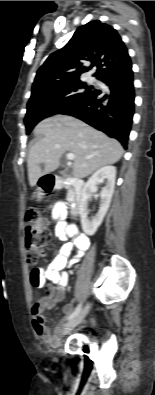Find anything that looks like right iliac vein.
Instances as JSON below:
<instances>
[{
    "mask_svg": "<svg viewBox=\"0 0 155 395\" xmlns=\"http://www.w3.org/2000/svg\"><path fill=\"white\" fill-rule=\"evenodd\" d=\"M90 309V305L87 304L84 309L78 314L76 315L73 319H71L64 327L63 330V335L68 334L71 330H73L78 324H80L83 319L85 318V316L87 315V313L89 312Z\"/></svg>",
    "mask_w": 155,
    "mask_h": 395,
    "instance_id": "1",
    "label": "right iliac vein"
}]
</instances>
